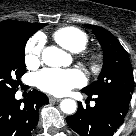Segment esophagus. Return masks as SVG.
Segmentation results:
<instances>
[{
  "label": "esophagus",
  "instance_id": "obj_1",
  "mask_svg": "<svg viewBox=\"0 0 136 136\" xmlns=\"http://www.w3.org/2000/svg\"><path fill=\"white\" fill-rule=\"evenodd\" d=\"M49 100H50L51 102H59V101H61L60 98H56V97H53V96H49Z\"/></svg>",
  "mask_w": 136,
  "mask_h": 136
}]
</instances>
